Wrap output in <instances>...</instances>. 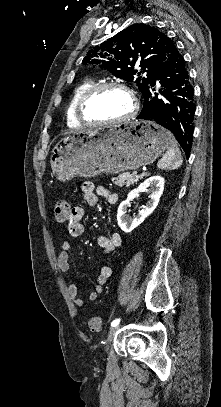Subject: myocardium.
<instances>
[{"mask_svg": "<svg viewBox=\"0 0 221 407\" xmlns=\"http://www.w3.org/2000/svg\"><path fill=\"white\" fill-rule=\"evenodd\" d=\"M108 89H121L129 94L132 99V109L128 114L123 117L114 120H101L92 118L88 113V106L90 103L103 91ZM77 114L81 122L93 125H112L120 124L126 122L133 118L139 109V102L136 93L127 85L119 82H106L101 84H96L90 89H88L77 102Z\"/></svg>", "mask_w": 221, "mask_h": 407, "instance_id": "myocardium-1", "label": "myocardium"}]
</instances>
